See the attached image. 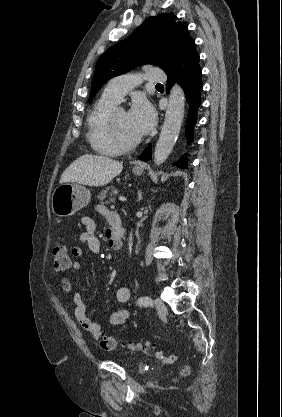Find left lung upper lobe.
Instances as JSON below:
<instances>
[{"instance_id":"5c2ea615","label":"left lung upper lobe","mask_w":282,"mask_h":417,"mask_svg":"<svg viewBox=\"0 0 282 417\" xmlns=\"http://www.w3.org/2000/svg\"><path fill=\"white\" fill-rule=\"evenodd\" d=\"M177 20L173 13L149 17L130 37L103 53L96 64L89 102L107 80L136 66L159 65L167 71L176 55L193 40L187 23Z\"/></svg>"}]
</instances>
